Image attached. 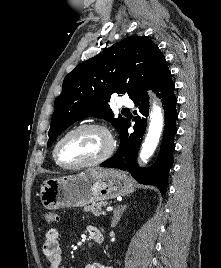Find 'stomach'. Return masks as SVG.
<instances>
[{
  "label": "stomach",
  "instance_id": "1",
  "mask_svg": "<svg viewBox=\"0 0 221 268\" xmlns=\"http://www.w3.org/2000/svg\"><path fill=\"white\" fill-rule=\"evenodd\" d=\"M134 183L125 172L87 169L77 175L49 179L40 187V200L48 210L82 207L133 193Z\"/></svg>",
  "mask_w": 221,
  "mask_h": 268
}]
</instances>
